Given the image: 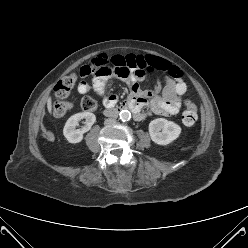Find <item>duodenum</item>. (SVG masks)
I'll use <instances>...</instances> for the list:
<instances>
[{
	"instance_id": "1",
	"label": "duodenum",
	"mask_w": 248,
	"mask_h": 248,
	"mask_svg": "<svg viewBox=\"0 0 248 248\" xmlns=\"http://www.w3.org/2000/svg\"><path fill=\"white\" fill-rule=\"evenodd\" d=\"M123 110H131L133 113H135V107L133 102L127 99L117 108H106L104 114L106 116L115 117Z\"/></svg>"
}]
</instances>
